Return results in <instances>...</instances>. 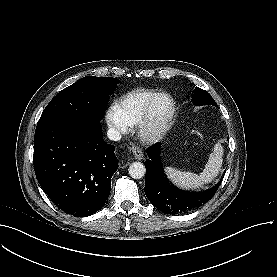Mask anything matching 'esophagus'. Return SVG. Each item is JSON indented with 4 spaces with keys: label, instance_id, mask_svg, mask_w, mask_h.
<instances>
[{
    "label": "esophagus",
    "instance_id": "obj_1",
    "mask_svg": "<svg viewBox=\"0 0 277 277\" xmlns=\"http://www.w3.org/2000/svg\"><path fill=\"white\" fill-rule=\"evenodd\" d=\"M132 152L136 160H142L143 159V152L138 147H132Z\"/></svg>",
    "mask_w": 277,
    "mask_h": 277
}]
</instances>
